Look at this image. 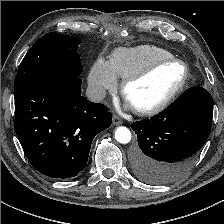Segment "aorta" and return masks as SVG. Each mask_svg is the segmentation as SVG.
<instances>
[{"label": "aorta", "instance_id": "aorta-1", "mask_svg": "<svg viewBox=\"0 0 224 224\" xmlns=\"http://www.w3.org/2000/svg\"><path fill=\"white\" fill-rule=\"evenodd\" d=\"M115 139L122 144H127L131 140V132L127 127L120 126L115 131Z\"/></svg>", "mask_w": 224, "mask_h": 224}]
</instances>
